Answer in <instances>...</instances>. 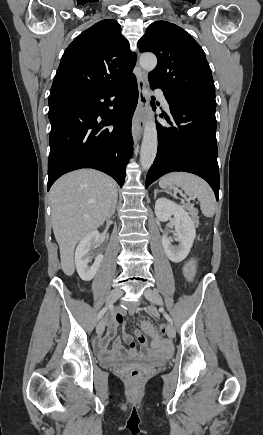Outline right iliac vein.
<instances>
[{
	"label": "right iliac vein",
	"instance_id": "63e3f726",
	"mask_svg": "<svg viewBox=\"0 0 263 435\" xmlns=\"http://www.w3.org/2000/svg\"><path fill=\"white\" fill-rule=\"evenodd\" d=\"M123 294V292L120 289H113L108 297H107V304L111 305L113 304L119 297H121ZM105 328V323L103 320H101L97 327H96V332L98 335L102 334Z\"/></svg>",
	"mask_w": 263,
	"mask_h": 435
}]
</instances>
